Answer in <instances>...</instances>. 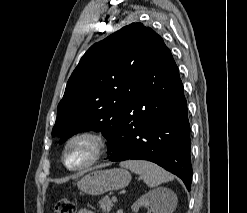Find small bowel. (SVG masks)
I'll return each mask as SVG.
<instances>
[{"mask_svg":"<svg viewBox=\"0 0 247 213\" xmlns=\"http://www.w3.org/2000/svg\"><path fill=\"white\" fill-rule=\"evenodd\" d=\"M77 213H95V212L90 211L88 209H80Z\"/></svg>","mask_w":247,"mask_h":213,"instance_id":"obj_1","label":"small bowel"}]
</instances>
